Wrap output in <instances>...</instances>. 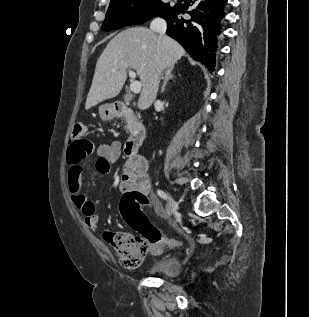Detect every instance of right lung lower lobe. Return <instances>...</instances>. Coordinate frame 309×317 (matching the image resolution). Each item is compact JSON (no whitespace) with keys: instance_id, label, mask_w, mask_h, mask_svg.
Segmentation results:
<instances>
[{"instance_id":"98d812e1","label":"right lung lower lobe","mask_w":309,"mask_h":317,"mask_svg":"<svg viewBox=\"0 0 309 317\" xmlns=\"http://www.w3.org/2000/svg\"><path fill=\"white\" fill-rule=\"evenodd\" d=\"M227 0H195L194 8L187 13L189 18L181 15L187 10L176 4L159 16L166 20L167 35L177 40L190 56L213 71L217 36L221 33L222 20L225 17L224 7Z\"/></svg>"}]
</instances>
